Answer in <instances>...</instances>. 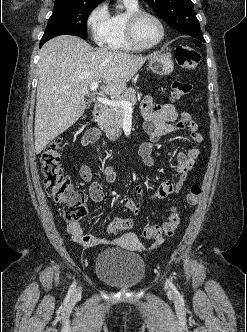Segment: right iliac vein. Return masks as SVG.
Wrapping results in <instances>:
<instances>
[{
	"label": "right iliac vein",
	"mask_w": 247,
	"mask_h": 332,
	"mask_svg": "<svg viewBox=\"0 0 247 332\" xmlns=\"http://www.w3.org/2000/svg\"><path fill=\"white\" fill-rule=\"evenodd\" d=\"M81 294V287H78L75 291H74V296H79Z\"/></svg>",
	"instance_id": "63e3f726"
}]
</instances>
